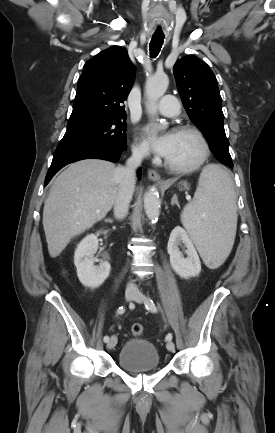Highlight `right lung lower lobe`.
I'll use <instances>...</instances> for the list:
<instances>
[{
    "mask_svg": "<svg viewBox=\"0 0 275 433\" xmlns=\"http://www.w3.org/2000/svg\"><path fill=\"white\" fill-rule=\"evenodd\" d=\"M126 148L106 145L97 147H86V148H69L56 150L51 163V166L47 172L45 178V186L49 183L51 178L65 165L82 160V159H103L111 162H117L121 156L122 151ZM138 176L140 178V170H138Z\"/></svg>",
    "mask_w": 275,
    "mask_h": 433,
    "instance_id": "obj_1",
    "label": "right lung lower lobe"
}]
</instances>
